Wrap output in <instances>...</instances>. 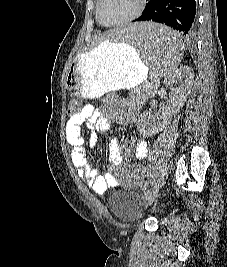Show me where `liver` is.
<instances>
[{
	"mask_svg": "<svg viewBox=\"0 0 227 267\" xmlns=\"http://www.w3.org/2000/svg\"><path fill=\"white\" fill-rule=\"evenodd\" d=\"M116 33H119V30L113 29L109 32H107L105 35H103L101 38L98 39V42L102 41L101 43L108 40L109 36H116Z\"/></svg>",
	"mask_w": 227,
	"mask_h": 267,
	"instance_id": "liver-1",
	"label": "liver"
}]
</instances>
